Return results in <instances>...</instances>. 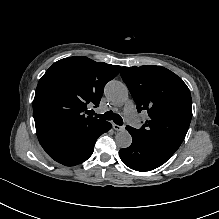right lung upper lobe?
Masks as SVG:
<instances>
[{"label": "right lung upper lobe", "instance_id": "right-lung-upper-lobe-1", "mask_svg": "<svg viewBox=\"0 0 219 219\" xmlns=\"http://www.w3.org/2000/svg\"><path fill=\"white\" fill-rule=\"evenodd\" d=\"M119 70L79 56L54 63L39 80L33 101L37 136L89 130L103 123L86 115L87 107L99 106L104 86Z\"/></svg>", "mask_w": 219, "mask_h": 219}]
</instances>
